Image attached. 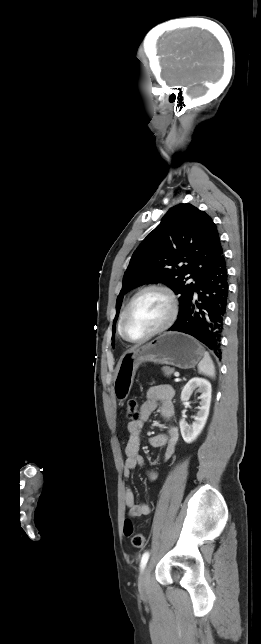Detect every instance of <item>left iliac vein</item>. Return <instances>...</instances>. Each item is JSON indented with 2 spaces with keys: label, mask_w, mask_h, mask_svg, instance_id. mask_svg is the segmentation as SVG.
<instances>
[{
  "label": "left iliac vein",
  "mask_w": 261,
  "mask_h": 644,
  "mask_svg": "<svg viewBox=\"0 0 261 644\" xmlns=\"http://www.w3.org/2000/svg\"><path fill=\"white\" fill-rule=\"evenodd\" d=\"M138 588L141 594H146L150 589V565H147L141 572L138 579Z\"/></svg>",
  "instance_id": "obj_1"
}]
</instances>
